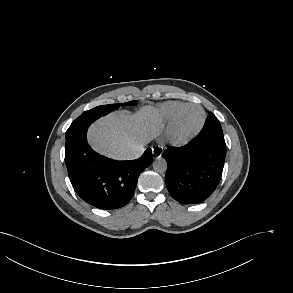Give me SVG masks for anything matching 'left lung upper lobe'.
Wrapping results in <instances>:
<instances>
[{"label":"left lung upper lobe","mask_w":293,"mask_h":293,"mask_svg":"<svg viewBox=\"0 0 293 293\" xmlns=\"http://www.w3.org/2000/svg\"><path fill=\"white\" fill-rule=\"evenodd\" d=\"M207 118H211L212 122H214L215 124L221 126L219 120L212 113H209Z\"/></svg>","instance_id":"5c2ea615"}]
</instances>
